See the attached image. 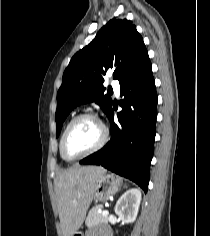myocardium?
<instances>
[{
  "label": "myocardium",
  "instance_id": "myocardium-1",
  "mask_svg": "<svg viewBox=\"0 0 210 236\" xmlns=\"http://www.w3.org/2000/svg\"><path fill=\"white\" fill-rule=\"evenodd\" d=\"M84 118L93 119L100 125V127H101L100 140L98 141V143L94 147H92L88 151L84 152L83 154H81L77 157H74V158H69L65 155V152H64V143H65L66 136H67L70 128L73 126V124L76 123L77 121L81 120V119H84ZM108 136H109L108 128L106 127V125L103 123V121L95 113L85 112V113L79 114L76 117H74L68 123V125L66 126V128H65V130L62 134V137H61V140H60V154H61L62 158L65 161H68V162H73V161H76V160H80V159H82V158H84V157H86L90 154H93V153L97 152L98 150H100L106 144V142L108 140Z\"/></svg>",
  "mask_w": 210,
  "mask_h": 236
}]
</instances>
